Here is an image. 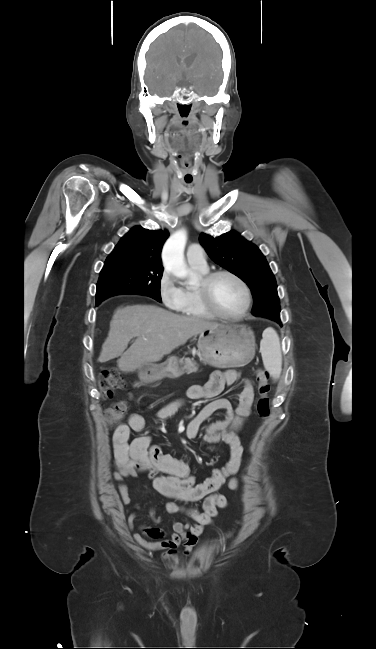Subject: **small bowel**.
Listing matches in <instances>:
<instances>
[{
    "mask_svg": "<svg viewBox=\"0 0 376 649\" xmlns=\"http://www.w3.org/2000/svg\"><path fill=\"white\" fill-rule=\"evenodd\" d=\"M239 380L240 374L236 370L216 371L204 385L190 386L186 395L191 400L204 397L214 398L226 385H232ZM242 383L243 389L238 395V404L235 409L226 399H213L205 404L186 426L187 437L195 438L205 420L219 411L224 414L222 420L213 422L206 428L203 442L210 449H214V445L218 443L227 445L229 459L224 466L215 469L213 474L202 482H196L187 463L164 454L160 446L152 444L150 436L142 435L130 440L132 431L140 432L145 427V419L142 415L131 414L127 424H120L113 432V479L119 482L118 493L122 503L128 506L132 502L125 480L145 473L151 480L153 489L158 494L170 499L166 504V511L169 514H184L188 519L194 521V524H190L188 521H173L170 533L148 526H141L140 532L133 533V539L145 549L163 551L161 555L163 559L173 558L177 553V548L181 545L185 552L189 553L197 544L198 537L203 533L205 527L210 525L218 515V508L227 506L226 497L215 493L240 469L244 450L238 433L251 413L254 398L250 381L243 378ZM183 403L182 399L168 403L157 411L156 417L159 420L172 417L183 406ZM160 473L164 475H160ZM229 486L231 489H235L237 481L232 478ZM202 500V511L186 508L180 503ZM135 507L137 508V506ZM151 516L155 522H160L154 510L151 511ZM135 519L136 512H131L127 519L130 530L134 529Z\"/></svg>",
    "mask_w": 376,
    "mask_h": 649,
    "instance_id": "c3829d8e",
    "label": "small bowel"
}]
</instances>
